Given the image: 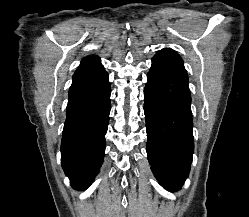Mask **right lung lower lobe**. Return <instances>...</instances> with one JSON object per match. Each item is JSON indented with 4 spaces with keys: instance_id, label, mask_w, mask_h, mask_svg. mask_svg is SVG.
<instances>
[{
    "instance_id": "98d812e1",
    "label": "right lung lower lobe",
    "mask_w": 249,
    "mask_h": 217,
    "mask_svg": "<svg viewBox=\"0 0 249 217\" xmlns=\"http://www.w3.org/2000/svg\"><path fill=\"white\" fill-rule=\"evenodd\" d=\"M110 93L100 58L85 57L73 75L61 142L62 167L75 189L87 188L103 162Z\"/></svg>"
}]
</instances>
